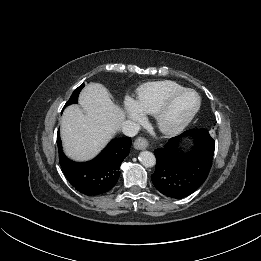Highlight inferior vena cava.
Returning a JSON list of instances; mask_svg holds the SVG:
<instances>
[{"label": "inferior vena cava", "mask_w": 261, "mask_h": 261, "mask_svg": "<svg viewBox=\"0 0 261 261\" xmlns=\"http://www.w3.org/2000/svg\"><path fill=\"white\" fill-rule=\"evenodd\" d=\"M121 130L125 135L132 137L139 132L140 125L134 121L128 120L122 123Z\"/></svg>", "instance_id": "1"}]
</instances>
